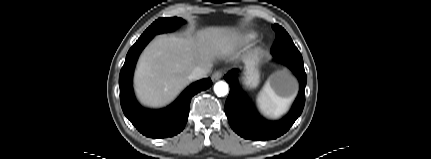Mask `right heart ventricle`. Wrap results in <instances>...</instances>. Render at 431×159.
I'll return each mask as SVG.
<instances>
[{
  "label": "right heart ventricle",
  "mask_w": 431,
  "mask_h": 159,
  "mask_svg": "<svg viewBox=\"0 0 431 159\" xmlns=\"http://www.w3.org/2000/svg\"><path fill=\"white\" fill-rule=\"evenodd\" d=\"M255 37H256V35H255V34H247V35H245V36L243 37V40H245V41H249V40L254 39Z\"/></svg>",
  "instance_id": "obj_1"
}]
</instances>
